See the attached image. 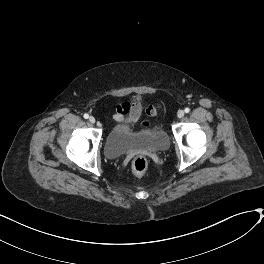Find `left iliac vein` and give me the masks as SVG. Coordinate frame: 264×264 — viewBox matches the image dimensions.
Returning <instances> with one entry per match:
<instances>
[{"mask_svg":"<svg viewBox=\"0 0 264 264\" xmlns=\"http://www.w3.org/2000/svg\"><path fill=\"white\" fill-rule=\"evenodd\" d=\"M177 116L179 118H182L184 116V111L183 110L178 111Z\"/></svg>","mask_w":264,"mask_h":264,"instance_id":"obj_1","label":"left iliac vein"}]
</instances>
